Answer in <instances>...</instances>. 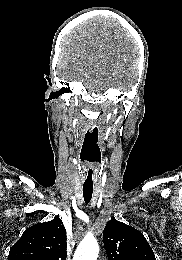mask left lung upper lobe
I'll use <instances>...</instances> for the list:
<instances>
[{"label": "left lung upper lobe", "mask_w": 182, "mask_h": 260, "mask_svg": "<svg viewBox=\"0 0 182 260\" xmlns=\"http://www.w3.org/2000/svg\"><path fill=\"white\" fill-rule=\"evenodd\" d=\"M103 242L109 260H156L143 234L115 219L108 221Z\"/></svg>", "instance_id": "left-lung-upper-lobe-1"}]
</instances>
